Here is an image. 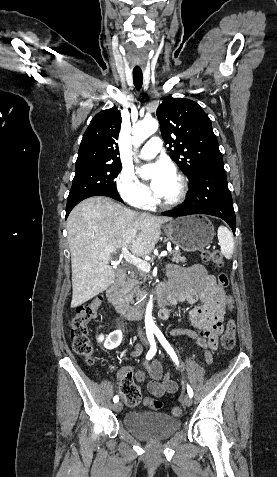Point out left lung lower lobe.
Listing matches in <instances>:
<instances>
[{"label": "left lung lower lobe", "instance_id": "0a47b994", "mask_svg": "<svg viewBox=\"0 0 277 477\" xmlns=\"http://www.w3.org/2000/svg\"><path fill=\"white\" fill-rule=\"evenodd\" d=\"M189 187L187 203L178 209L162 214L174 217L192 214L213 215L225 220L235 234V212L223 161L201 167L190 181Z\"/></svg>", "mask_w": 277, "mask_h": 477}]
</instances>
